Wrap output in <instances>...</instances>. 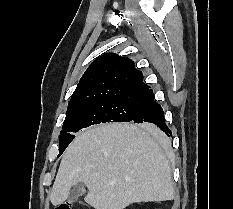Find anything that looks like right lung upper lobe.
<instances>
[{
	"mask_svg": "<svg viewBox=\"0 0 233 209\" xmlns=\"http://www.w3.org/2000/svg\"><path fill=\"white\" fill-rule=\"evenodd\" d=\"M123 101L147 105L154 100L142 72L128 58L106 53L96 59L80 79L68 110L99 101Z\"/></svg>",
	"mask_w": 233,
	"mask_h": 209,
	"instance_id": "1",
	"label": "right lung upper lobe"
}]
</instances>
